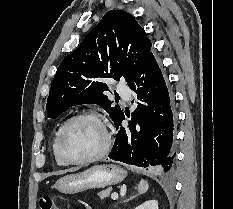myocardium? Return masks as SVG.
Returning <instances> with one entry per match:
<instances>
[{"label":"myocardium","instance_id":"f54148a6","mask_svg":"<svg viewBox=\"0 0 233 209\" xmlns=\"http://www.w3.org/2000/svg\"><path fill=\"white\" fill-rule=\"evenodd\" d=\"M81 119H93L101 125V127L104 131V137H105L104 144L98 152H96L95 154H93L91 156H88L85 158H80V159H71L64 153L63 148H62V144H63V140H64V137H65V134H66L68 128L74 122L81 120ZM111 143H112L111 134H110V131L108 129V126H107L103 116L95 111H82V112L77 113V114L73 115L72 117H70L62 125V127L59 131V134H58V138H57L56 150H57L58 157L65 164L81 165V164H88V163L97 161V160L101 159L102 157H104L109 152L110 147H111Z\"/></svg>","mask_w":233,"mask_h":209}]
</instances>
